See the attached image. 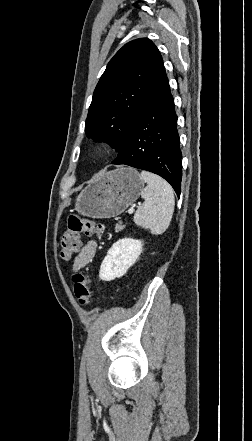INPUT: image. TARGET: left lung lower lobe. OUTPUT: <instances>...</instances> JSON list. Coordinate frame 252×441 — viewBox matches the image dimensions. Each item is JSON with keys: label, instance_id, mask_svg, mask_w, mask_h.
I'll return each instance as SVG.
<instances>
[{"label": "left lung lower lobe", "instance_id": "0a47b994", "mask_svg": "<svg viewBox=\"0 0 252 441\" xmlns=\"http://www.w3.org/2000/svg\"><path fill=\"white\" fill-rule=\"evenodd\" d=\"M111 163L153 172L166 179L180 196L182 165L177 115L162 58L128 137Z\"/></svg>", "mask_w": 252, "mask_h": 441}]
</instances>
